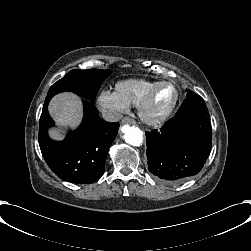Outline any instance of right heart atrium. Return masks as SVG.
Returning <instances> with one entry per match:
<instances>
[{"label":"right heart atrium","mask_w":251,"mask_h":251,"mask_svg":"<svg viewBox=\"0 0 251 251\" xmlns=\"http://www.w3.org/2000/svg\"><path fill=\"white\" fill-rule=\"evenodd\" d=\"M96 104L109 119H117L120 114L129 110V105L124 103L115 92L102 90L96 97Z\"/></svg>","instance_id":"right-heart-atrium-1"}]
</instances>
